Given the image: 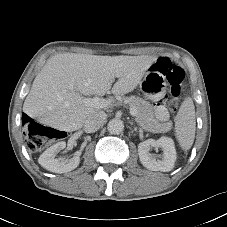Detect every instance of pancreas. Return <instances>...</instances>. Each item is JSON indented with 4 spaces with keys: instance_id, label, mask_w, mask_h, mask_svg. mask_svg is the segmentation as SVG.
Instances as JSON below:
<instances>
[{
    "instance_id": "pancreas-1",
    "label": "pancreas",
    "mask_w": 227,
    "mask_h": 227,
    "mask_svg": "<svg viewBox=\"0 0 227 227\" xmlns=\"http://www.w3.org/2000/svg\"><path fill=\"white\" fill-rule=\"evenodd\" d=\"M124 104L137 110L135 121L144 130L152 133H166L172 129V122L159 123L153 118L150 104L144 99L136 96L124 97Z\"/></svg>"
}]
</instances>
